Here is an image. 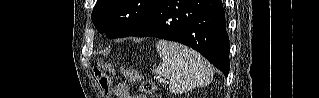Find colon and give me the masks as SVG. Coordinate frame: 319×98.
<instances>
[{"mask_svg":"<svg viewBox=\"0 0 319 98\" xmlns=\"http://www.w3.org/2000/svg\"><path fill=\"white\" fill-rule=\"evenodd\" d=\"M106 68L108 71L112 70V66L107 63L106 64ZM95 75L97 76L98 80H99V84L102 87V89L104 90V92L106 94L109 93L110 91V80L107 77V75L104 73V71L100 68H95ZM127 76L133 80H138L140 79L141 75L138 72H128ZM140 90L143 94L149 95L155 92L156 90V84L154 81L152 80H146L143 81L140 87Z\"/></svg>","mask_w":319,"mask_h":98,"instance_id":"colon-1","label":"colon"}]
</instances>
